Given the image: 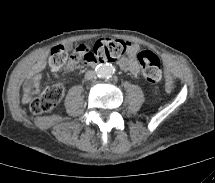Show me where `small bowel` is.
Returning <instances> with one entry per match:
<instances>
[{"mask_svg": "<svg viewBox=\"0 0 215 183\" xmlns=\"http://www.w3.org/2000/svg\"><path fill=\"white\" fill-rule=\"evenodd\" d=\"M139 51V47L136 44L128 43L127 45V57L120 59L119 66L121 70L125 73L137 74L139 67L136 61V55ZM73 60H70L67 64L66 69L70 70L77 66ZM45 66V60L43 58L39 59L31 68L30 73L23 84L22 88V98L24 102H28L32 97L38 93L41 89V78L42 71Z\"/></svg>", "mask_w": 215, "mask_h": 183, "instance_id": "small-bowel-1", "label": "small bowel"}]
</instances>
